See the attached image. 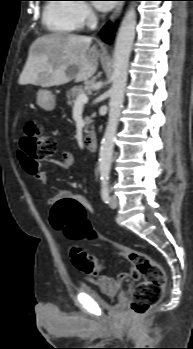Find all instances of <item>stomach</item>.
<instances>
[{
	"label": "stomach",
	"mask_w": 193,
	"mask_h": 349,
	"mask_svg": "<svg viewBox=\"0 0 193 349\" xmlns=\"http://www.w3.org/2000/svg\"><path fill=\"white\" fill-rule=\"evenodd\" d=\"M38 105L46 111H52L56 106L55 95L49 90L40 89L37 93Z\"/></svg>",
	"instance_id": "stomach-1"
}]
</instances>
